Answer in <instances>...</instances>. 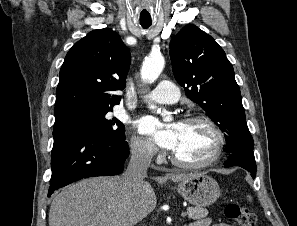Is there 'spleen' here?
I'll use <instances>...</instances> for the list:
<instances>
[{"label":"spleen","instance_id":"1","mask_svg":"<svg viewBox=\"0 0 297 226\" xmlns=\"http://www.w3.org/2000/svg\"><path fill=\"white\" fill-rule=\"evenodd\" d=\"M248 200L251 202L252 197L250 195L247 196Z\"/></svg>","mask_w":297,"mask_h":226}]
</instances>
